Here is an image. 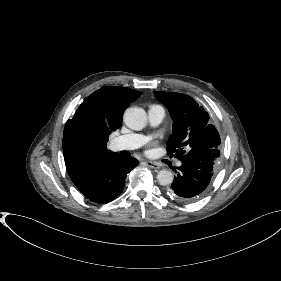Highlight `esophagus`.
<instances>
[{
    "label": "esophagus",
    "mask_w": 281,
    "mask_h": 281,
    "mask_svg": "<svg viewBox=\"0 0 281 281\" xmlns=\"http://www.w3.org/2000/svg\"><path fill=\"white\" fill-rule=\"evenodd\" d=\"M145 164L150 167V168H153V169H159L160 168V165L157 164V163H154V162H151V161H145Z\"/></svg>",
    "instance_id": "1"
}]
</instances>
